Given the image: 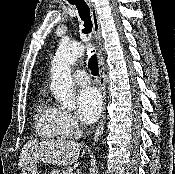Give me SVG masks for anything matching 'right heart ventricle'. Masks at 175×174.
<instances>
[{
	"instance_id": "1",
	"label": "right heart ventricle",
	"mask_w": 175,
	"mask_h": 174,
	"mask_svg": "<svg viewBox=\"0 0 175 174\" xmlns=\"http://www.w3.org/2000/svg\"><path fill=\"white\" fill-rule=\"evenodd\" d=\"M35 129L41 137L52 140L67 135L61 125L60 110L45 98L40 99L36 106Z\"/></svg>"
}]
</instances>
